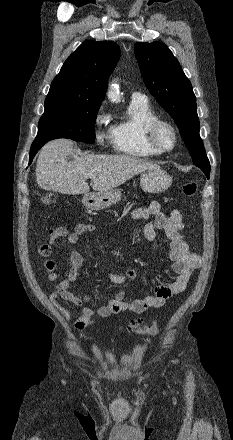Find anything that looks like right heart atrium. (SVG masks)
Wrapping results in <instances>:
<instances>
[{"instance_id": "right-heart-atrium-1", "label": "right heart atrium", "mask_w": 233, "mask_h": 440, "mask_svg": "<svg viewBox=\"0 0 233 440\" xmlns=\"http://www.w3.org/2000/svg\"><path fill=\"white\" fill-rule=\"evenodd\" d=\"M109 119V114L103 106H100L94 116L95 137L99 144H104L111 137L110 129L107 131L103 130V127L107 126Z\"/></svg>"}]
</instances>
